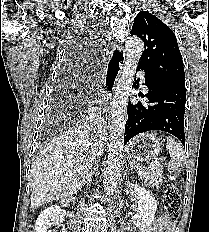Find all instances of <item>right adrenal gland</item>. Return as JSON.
<instances>
[{
	"label": "right adrenal gland",
	"instance_id": "obj_1",
	"mask_svg": "<svg viewBox=\"0 0 209 232\" xmlns=\"http://www.w3.org/2000/svg\"><path fill=\"white\" fill-rule=\"evenodd\" d=\"M94 174V172L93 171H91L88 175H87V177H86V179H85V181H84V183H83V186L85 185V184H87V185H90L91 184V177H92V175ZM82 186V187H83ZM81 187V188H82ZM81 188H80V190H81Z\"/></svg>",
	"mask_w": 209,
	"mask_h": 232
}]
</instances>
